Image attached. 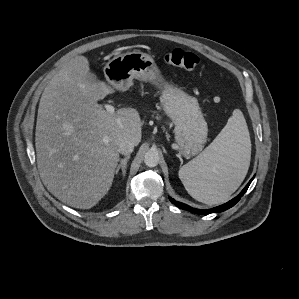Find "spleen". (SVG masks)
Here are the masks:
<instances>
[{
    "label": "spleen",
    "instance_id": "3e777b00",
    "mask_svg": "<svg viewBox=\"0 0 299 299\" xmlns=\"http://www.w3.org/2000/svg\"><path fill=\"white\" fill-rule=\"evenodd\" d=\"M251 142L243 113L236 109L214 141L179 170L186 191L205 204L226 202L243 182Z\"/></svg>",
    "mask_w": 299,
    "mask_h": 299
}]
</instances>
